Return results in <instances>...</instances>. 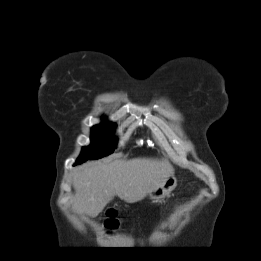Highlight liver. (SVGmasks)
<instances>
[{
	"label": "liver",
	"mask_w": 261,
	"mask_h": 261,
	"mask_svg": "<svg viewBox=\"0 0 261 261\" xmlns=\"http://www.w3.org/2000/svg\"><path fill=\"white\" fill-rule=\"evenodd\" d=\"M173 171L168 161L151 158L85 163L72 175L73 207L83 217H96L115 195L136 202L161 186Z\"/></svg>",
	"instance_id": "obj_1"
}]
</instances>
